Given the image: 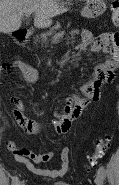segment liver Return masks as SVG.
Returning <instances> with one entry per match:
<instances>
[{
    "label": "liver",
    "instance_id": "6515ba94",
    "mask_svg": "<svg viewBox=\"0 0 119 185\" xmlns=\"http://www.w3.org/2000/svg\"><path fill=\"white\" fill-rule=\"evenodd\" d=\"M66 11L57 0H0V32L17 31L24 13H35V26L45 28L51 25V18Z\"/></svg>",
    "mask_w": 119,
    "mask_h": 185
}]
</instances>
